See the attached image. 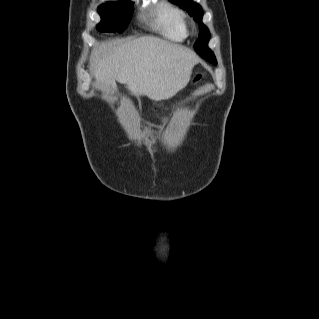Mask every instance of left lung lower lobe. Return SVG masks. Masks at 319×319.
<instances>
[{
    "instance_id": "0a47b994",
    "label": "left lung lower lobe",
    "mask_w": 319,
    "mask_h": 319,
    "mask_svg": "<svg viewBox=\"0 0 319 319\" xmlns=\"http://www.w3.org/2000/svg\"><path fill=\"white\" fill-rule=\"evenodd\" d=\"M198 48V47H197ZM201 57H203L204 59L208 60V56L202 51V50H199V53H198ZM210 62V61H209ZM211 63L213 64H216V59L215 57L211 60Z\"/></svg>"
}]
</instances>
